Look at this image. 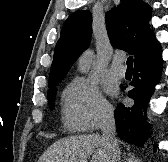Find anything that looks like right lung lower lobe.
Wrapping results in <instances>:
<instances>
[{
  "label": "right lung lower lobe",
  "instance_id": "obj_1",
  "mask_svg": "<svg viewBox=\"0 0 168 162\" xmlns=\"http://www.w3.org/2000/svg\"><path fill=\"white\" fill-rule=\"evenodd\" d=\"M161 69V49L134 65V77L130 83L134 88L128 92V97L135 102L131 107L119 104L115 111L118 135L128 143L142 146L146 140L144 136L148 137L150 125L145 113L154 86L159 82Z\"/></svg>",
  "mask_w": 168,
  "mask_h": 162
}]
</instances>
